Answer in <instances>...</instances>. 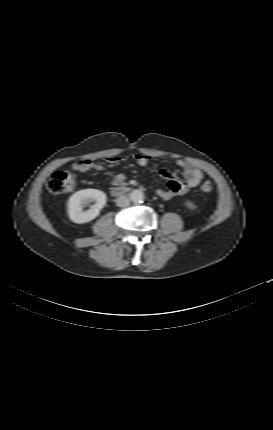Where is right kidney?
<instances>
[{
    "label": "right kidney",
    "mask_w": 273,
    "mask_h": 430,
    "mask_svg": "<svg viewBox=\"0 0 273 430\" xmlns=\"http://www.w3.org/2000/svg\"><path fill=\"white\" fill-rule=\"evenodd\" d=\"M96 203L88 211L83 208L90 202ZM106 205V195L97 189H84L74 193L68 201V216L74 223L82 224L95 219Z\"/></svg>",
    "instance_id": "right-kidney-1"
}]
</instances>
